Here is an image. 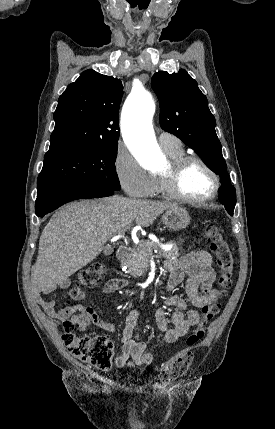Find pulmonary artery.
<instances>
[{
    "label": "pulmonary artery",
    "instance_id": "1",
    "mask_svg": "<svg viewBox=\"0 0 275 429\" xmlns=\"http://www.w3.org/2000/svg\"><path fill=\"white\" fill-rule=\"evenodd\" d=\"M159 143L163 149H178L181 147V141L174 135L161 132L158 136Z\"/></svg>",
    "mask_w": 275,
    "mask_h": 429
}]
</instances>
